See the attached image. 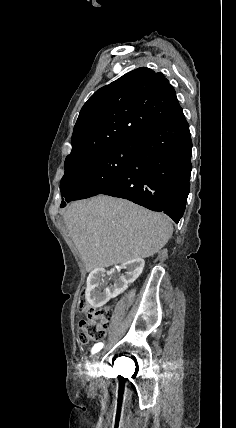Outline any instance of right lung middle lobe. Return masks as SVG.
I'll return each mask as SVG.
<instances>
[{
  "label": "right lung middle lobe",
  "mask_w": 236,
  "mask_h": 428,
  "mask_svg": "<svg viewBox=\"0 0 236 428\" xmlns=\"http://www.w3.org/2000/svg\"><path fill=\"white\" fill-rule=\"evenodd\" d=\"M136 154L137 140L131 139L66 167L60 184V207L73 200L95 196L128 166Z\"/></svg>",
  "instance_id": "right-lung-middle-lobe-1"
}]
</instances>
